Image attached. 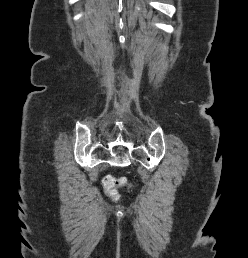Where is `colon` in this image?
I'll return each instance as SVG.
<instances>
[{
    "instance_id": "obj_1",
    "label": "colon",
    "mask_w": 248,
    "mask_h": 258,
    "mask_svg": "<svg viewBox=\"0 0 248 258\" xmlns=\"http://www.w3.org/2000/svg\"><path fill=\"white\" fill-rule=\"evenodd\" d=\"M125 183L124 178H116L112 176H107L103 180V187L105 192L112 198L116 199L118 197V193L116 188Z\"/></svg>"
}]
</instances>
